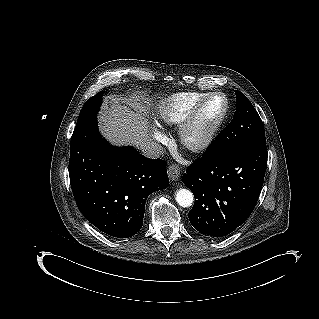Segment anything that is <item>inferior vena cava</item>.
I'll use <instances>...</instances> for the list:
<instances>
[{
    "label": "inferior vena cava",
    "mask_w": 319,
    "mask_h": 319,
    "mask_svg": "<svg viewBox=\"0 0 319 319\" xmlns=\"http://www.w3.org/2000/svg\"><path fill=\"white\" fill-rule=\"evenodd\" d=\"M141 153L148 158H159L165 152L164 148L156 142H145L140 145Z\"/></svg>",
    "instance_id": "602c4592"
}]
</instances>
